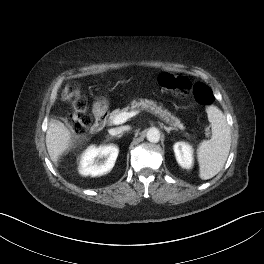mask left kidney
Returning <instances> with one entry per match:
<instances>
[{
  "mask_svg": "<svg viewBox=\"0 0 264 264\" xmlns=\"http://www.w3.org/2000/svg\"><path fill=\"white\" fill-rule=\"evenodd\" d=\"M174 153L178 164L185 169H190L193 164V149L185 142L174 144Z\"/></svg>",
  "mask_w": 264,
  "mask_h": 264,
  "instance_id": "obj_1",
  "label": "left kidney"
}]
</instances>
